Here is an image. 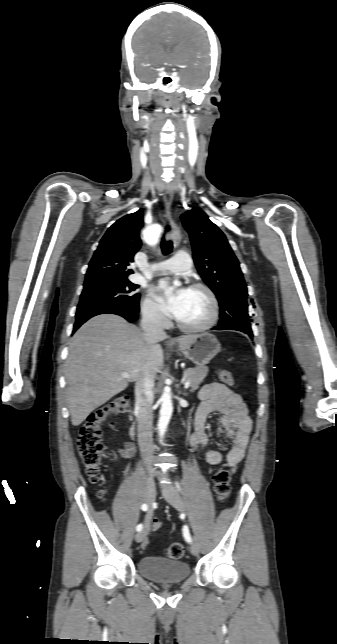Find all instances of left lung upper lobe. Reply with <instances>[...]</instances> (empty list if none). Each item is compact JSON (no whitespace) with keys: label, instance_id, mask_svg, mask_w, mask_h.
I'll return each mask as SVG.
<instances>
[{"label":"left lung upper lobe","instance_id":"left-lung-upper-lobe-1","mask_svg":"<svg viewBox=\"0 0 337 644\" xmlns=\"http://www.w3.org/2000/svg\"><path fill=\"white\" fill-rule=\"evenodd\" d=\"M181 219L191 239L196 268L219 301L218 327L253 336L246 283L224 233L199 208L182 214Z\"/></svg>","mask_w":337,"mask_h":644}]
</instances>
